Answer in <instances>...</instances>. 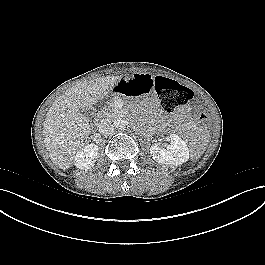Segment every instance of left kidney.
<instances>
[{"mask_svg":"<svg viewBox=\"0 0 265 265\" xmlns=\"http://www.w3.org/2000/svg\"><path fill=\"white\" fill-rule=\"evenodd\" d=\"M171 144L163 148L160 144H154L150 148L152 158L167 165H181L189 159L187 144L176 134H170Z\"/></svg>","mask_w":265,"mask_h":265,"instance_id":"1","label":"left kidney"}]
</instances>
